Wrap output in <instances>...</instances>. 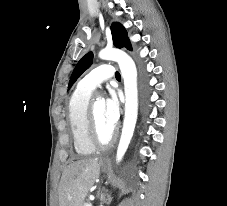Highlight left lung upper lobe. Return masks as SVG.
<instances>
[{"instance_id":"obj_1","label":"left lung upper lobe","mask_w":227,"mask_h":206,"mask_svg":"<svg viewBox=\"0 0 227 206\" xmlns=\"http://www.w3.org/2000/svg\"><path fill=\"white\" fill-rule=\"evenodd\" d=\"M111 33H112V39L113 44L117 48H127L128 50H132L130 41L127 37V32L125 28L117 22H114L111 25ZM93 62V53L89 52L86 55H84L77 65L75 66L72 75L70 77L68 89L71 88V86L75 83V81L80 77V75L91 66Z\"/></svg>"}]
</instances>
